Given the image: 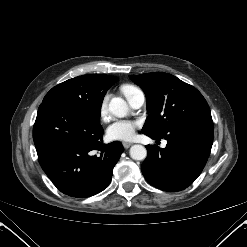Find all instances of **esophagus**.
Wrapping results in <instances>:
<instances>
[{
    "instance_id": "esophagus-1",
    "label": "esophagus",
    "mask_w": 247,
    "mask_h": 247,
    "mask_svg": "<svg viewBox=\"0 0 247 247\" xmlns=\"http://www.w3.org/2000/svg\"><path fill=\"white\" fill-rule=\"evenodd\" d=\"M122 145H123V147H124L125 149H128V148L132 145V143L123 142Z\"/></svg>"
}]
</instances>
